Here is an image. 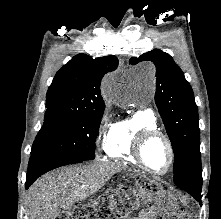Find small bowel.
<instances>
[{
    "instance_id": "c3829d8e",
    "label": "small bowel",
    "mask_w": 221,
    "mask_h": 219,
    "mask_svg": "<svg viewBox=\"0 0 221 219\" xmlns=\"http://www.w3.org/2000/svg\"><path fill=\"white\" fill-rule=\"evenodd\" d=\"M131 219H156V210L152 207L146 208Z\"/></svg>"
}]
</instances>
